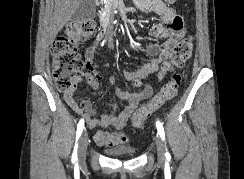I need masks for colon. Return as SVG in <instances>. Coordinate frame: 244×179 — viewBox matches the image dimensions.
Listing matches in <instances>:
<instances>
[{"instance_id": "obj_1", "label": "colon", "mask_w": 244, "mask_h": 179, "mask_svg": "<svg viewBox=\"0 0 244 179\" xmlns=\"http://www.w3.org/2000/svg\"><path fill=\"white\" fill-rule=\"evenodd\" d=\"M174 3L175 0H166ZM94 23L91 20H83L70 23L57 37L52 47L53 76L60 91L73 92L84 76L91 84L99 80L98 75L91 71L79 53L80 39L88 38L94 32ZM193 40L185 37L175 44L170 56L169 66L172 68L182 67L191 57ZM180 77L174 75L173 79L166 84L147 102L139 106L133 113L132 125L140 129L150 116L158 111L164 104L170 102L177 94Z\"/></svg>"}]
</instances>
